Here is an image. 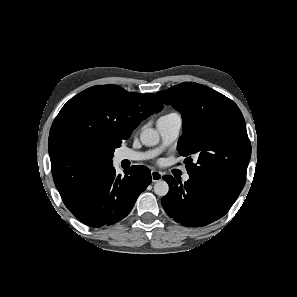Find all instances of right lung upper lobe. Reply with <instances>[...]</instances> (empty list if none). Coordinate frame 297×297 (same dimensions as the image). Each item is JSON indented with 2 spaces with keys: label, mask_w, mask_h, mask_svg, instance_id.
<instances>
[{
  "label": "right lung upper lobe",
  "mask_w": 297,
  "mask_h": 297,
  "mask_svg": "<svg viewBox=\"0 0 297 297\" xmlns=\"http://www.w3.org/2000/svg\"><path fill=\"white\" fill-rule=\"evenodd\" d=\"M163 109L154 94L97 85L71 98L55 118L48 141L52 174L64 204L113 168L114 150L133 129Z\"/></svg>",
  "instance_id": "right-lung-upper-lobe-1"
}]
</instances>
